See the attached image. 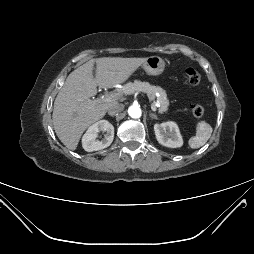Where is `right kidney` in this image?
<instances>
[{
    "mask_svg": "<svg viewBox=\"0 0 254 254\" xmlns=\"http://www.w3.org/2000/svg\"><path fill=\"white\" fill-rule=\"evenodd\" d=\"M105 132L104 138L98 140V133ZM114 139V127L107 120H100L90 126L82 138V146L85 151L93 152L102 150L111 145Z\"/></svg>",
    "mask_w": 254,
    "mask_h": 254,
    "instance_id": "right-kidney-1",
    "label": "right kidney"
}]
</instances>
